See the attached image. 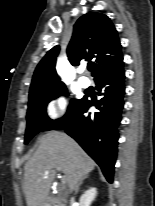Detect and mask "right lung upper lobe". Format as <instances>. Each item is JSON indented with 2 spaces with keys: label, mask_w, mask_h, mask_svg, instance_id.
Here are the masks:
<instances>
[{
  "label": "right lung upper lobe",
  "mask_w": 155,
  "mask_h": 206,
  "mask_svg": "<svg viewBox=\"0 0 155 206\" xmlns=\"http://www.w3.org/2000/svg\"><path fill=\"white\" fill-rule=\"evenodd\" d=\"M59 51L60 47L55 46L42 58L34 72L29 96L64 85L55 70ZM67 56L73 66L83 60L89 61L95 80L113 69L123 56L117 31L110 19L96 12L80 17L74 25Z\"/></svg>",
  "instance_id": "right-lung-upper-lobe-1"
}]
</instances>
